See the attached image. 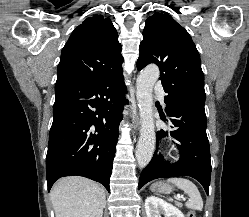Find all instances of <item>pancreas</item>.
Listing matches in <instances>:
<instances>
[{"label":"pancreas","mask_w":249,"mask_h":217,"mask_svg":"<svg viewBox=\"0 0 249 217\" xmlns=\"http://www.w3.org/2000/svg\"><path fill=\"white\" fill-rule=\"evenodd\" d=\"M176 205H177L178 207H182V204L179 203V202H176Z\"/></svg>","instance_id":"cf45deb5"}]
</instances>
